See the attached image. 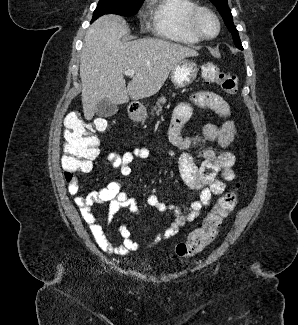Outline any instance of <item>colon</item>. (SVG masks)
Wrapping results in <instances>:
<instances>
[{"label": "colon", "mask_w": 298, "mask_h": 325, "mask_svg": "<svg viewBox=\"0 0 298 325\" xmlns=\"http://www.w3.org/2000/svg\"><path fill=\"white\" fill-rule=\"evenodd\" d=\"M201 74L207 83L218 85L229 95H236L238 79L226 73L217 64L206 62L201 66ZM108 122L103 118L87 121L79 113H70L65 118L62 168L67 183L77 180L91 166L98 155L96 133L107 130ZM238 197L235 191L222 195L212 210L205 216L202 225L193 230L186 241L175 247L180 258L192 257L203 251L217 237L224 219L235 209Z\"/></svg>", "instance_id": "5ec220e1"}]
</instances>
